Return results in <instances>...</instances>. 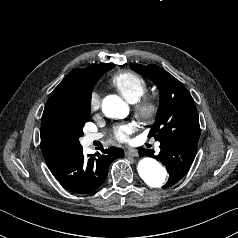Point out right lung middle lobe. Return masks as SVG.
Instances as JSON below:
<instances>
[{"label":"right lung middle lobe","mask_w":238,"mask_h":238,"mask_svg":"<svg viewBox=\"0 0 238 238\" xmlns=\"http://www.w3.org/2000/svg\"><path fill=\"white\" fill-rule=\"evenodd\" d=\"M114 66V64L99 66L94 73L77 83V93L71 97L65 108L56 112L52 117L51 125L57 133L80 144L79 138L83 135V126L89 119V99L93 86L101 75Z\"/></svg>","instance_id":"right-lung-middle-lobe-1"}]
</instances>
